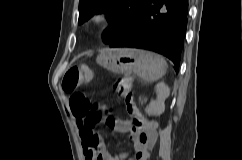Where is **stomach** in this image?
Listing matches in <instances>:
<instances>
[{"label": "stomach", "mask_w": 242, "mask_h": 160, "mask_svg": "<svg viewBox=\"0 0 242 160\" xmlns=\"http://www.w3.org/2000/svg\"><path fill=\"white\" fill-rule=\"evenodd\" d=\"M97 63L117 74H139L144 81H153L159 73V65L152 69L155 54L133 48H114L102 52Z\"/></svg>", "instance_id": "obj_1"}]
</instances>
